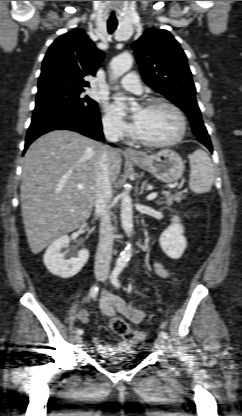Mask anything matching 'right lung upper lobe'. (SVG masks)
<instances>
[{
  "label": "right lung upper lobe",
  "mask_w": 242,
  "mask_h": 416,
  "mask_svg": "<svg viewBox=\"0 0 242 416\" xmlns=\"http://www.w3.org/2000/svg\"><path fill=\"white\" fill-rule=\"evenodd\" d=\"M103 58L104 53L82 30L58 37L43 59L37 96L63 88L84 90L89 86L84 77L94 76Z\"/></svg>",
  "instance_id": "1"
}]
</instances>
